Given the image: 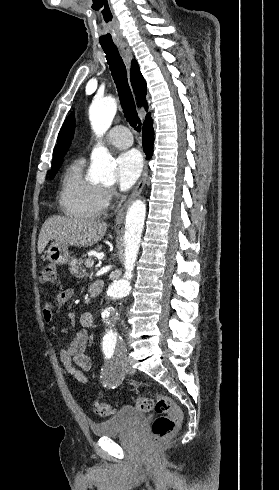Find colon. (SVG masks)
<instances>
[{"label":"colon","mask_w":279,"mask_h":490,"mask_svg":"<svg viewBox=\"0 0 279 490\" xmlns=\"http://www.w3.org/2000/svg\"><path fill=\"white\" fill-rule=\"evenodd\" d=\"M39 281L43 284H53L56 282V267L52 263L46 264L40 275ZM155 403L157 417L152 424V433L155 442H172L173 433L177 423L183 418V412L179 409L170 396L154 395L142 396L136 399L137 408L144 412H150ZM93 411L96 415L106 417L114 413L111 402L96 401L93 404Z\"/></svg>","instance_id":"1"}]
</instances>
